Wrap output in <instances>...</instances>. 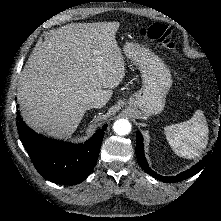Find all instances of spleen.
Returning a JSON list of instances; mask_svg holds the SVG:
<instances>
[{"instance_id": "obj_1", "label": "spleen", "mask_w": 221, "mask_h": 221, "mask_svg": "<svg viewBox=\"0 0 221 221\" xmlns=\"http://www.w3.org/2000/svg\"><path fill=\"white\" fill-rule=\"evenodd\" d=\"M166 138L174 152L188 159L198 157L208 142V125L201 110L185 122L166 126Z\"/></svg>"}]
</instances>
